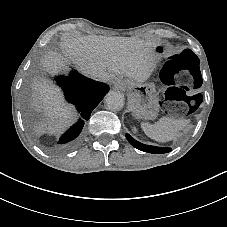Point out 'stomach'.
I'll list each match as a JSON object with an SVG mask.
<instances>
[{
  "mask_svg": "<svg viewBox=\"0 0 227 227\" xmlns=\"http://www.w3.org/2000/svg\"><path fill=\"white\" fill-rule=\"evenodd\" d=\"M131 97L133 114L138 118L153 119L159 111L158 97L153 85L130 80L118 82Z\"/></svg>",
  "mask_w": 227,
  "mask_h": 227,
  "instance_id": "obj_1",
  "label": "stomach"
}]
</instances>
